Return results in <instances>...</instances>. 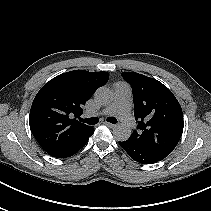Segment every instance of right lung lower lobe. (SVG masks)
I'll return each mask as SVG.
<instances>
[{
  "instance_id": "98d812e1",
  "label": "right lung lower lobe",
  "mask_w": 211,
  "mask_h": 211,
  "mask_svg": "<svg viewBox=\"0 0 211 211\" xmlns=\"http://www.w3.org/2000/svg\"><path fill=\"white\" fill-rule=\"evenodd\" d=\"M94 133V128H92L86 135H84L82 138L74 142L72 145L67 147L66 149L53 154L51 156L55 158H67L74 155L77 151H79L87 142L89 137Z\"/></svg>"
}]
</instances>
